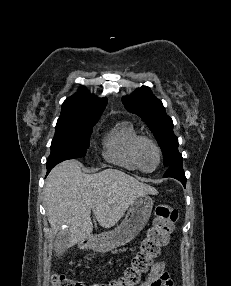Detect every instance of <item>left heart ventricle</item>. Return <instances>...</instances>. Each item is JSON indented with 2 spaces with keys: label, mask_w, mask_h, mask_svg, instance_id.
Here are the masks:
<instances>
[{
  "label": "left heart ventricle",
  "mask_w": 231,
  "mask_h": 286,
  "mask_svg": "<svg viewBox=\"0 0 231 286\" xmlns=\"http://www.w3.org/2000/svg\"><path fill=\"white\" fill-rule=\"evenodd\" d=\"M141 164L144 169L152 170L156 167L158 157L155 149L149 144H143L140 151Z\"/></svg>",
  "instance_id": "b2bd125f"
}]
</instances>
